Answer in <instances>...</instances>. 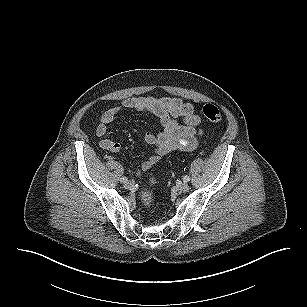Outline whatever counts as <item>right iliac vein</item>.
Wrapping results in <instances>:
<instances>
[{
	"instance_id": "right-iliac-vein-1",
	"label": "right iliac vein",
	"mask_w": 307,
	"mask_h": 307,
	"mask_svg": "<svg viewBox=\"0 0 307 307\" xmlns=\"http://www.w3.org/2000/svg\"><path fill=\"white\" fill-rule=\"evenodd\" d=\"M124 186H125L126 189H131L134 186V183L131 182V181H128V182L125 183Z\"/></svg>"
}]
</instances>
